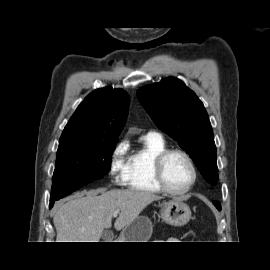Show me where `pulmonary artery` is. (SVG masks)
<instances>
[{"mask_svg": "<svg viewBox=\"0 0 270 270\" xmlns=\"http://www.w3.org/2000/svg\"><path fill=\"white\" fill-rule=\"evenodd\" d=\"M149 134L160 135L158 132H155V131H151V132H149Z\"/></svg>", "mask_w": 270, "mask_h": 270, "instance_id": "1", "label": "pulmonary artery"}]
</instances>
